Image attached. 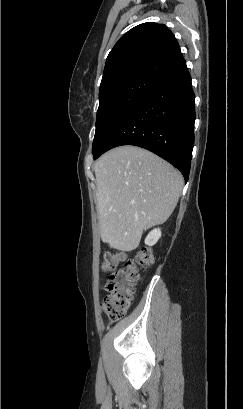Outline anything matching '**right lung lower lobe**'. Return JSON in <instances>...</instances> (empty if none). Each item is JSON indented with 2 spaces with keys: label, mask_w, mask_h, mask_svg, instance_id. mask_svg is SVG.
Here are the masks:
<instances>
[{
  "label": "right lung lower lobe",
  "mask_w": 243,
  "mask_h": 409,
  "mask_svg": "<svg viewBox=\"0 0 243 409\" xmlns=\"http://www.w3.org/2000/svg\"><path fill=\"white\" fill-rule=\"evenodd\" d=\"M195 95L183 59L143 98L94 156L121 145L152 151L188 180L194 145Z\"/></svg>",
  "instance_id": "obj_1"
}]
</instances>
